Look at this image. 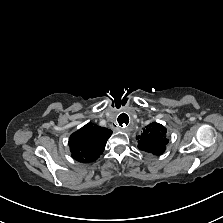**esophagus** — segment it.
Instances as JSON below:
<instances>
[{"mask_svg":"<svg viewBox=\"0 0 223 223\" xmlns=\"http://www.w3.org/2000/svg\"><path fill=\"white\" fill-rule=\"evenodd\" d=\"M131 121H132V118H131L130 114H128L126 112H122V113L118 114V116L116 118V124H117L118 128H120L122 130L129 128Z\"/></svg>","mask_w":223,"mask_h":223,"instance_id":"esophagus-1","label":"esophagus"}]
</instances>
